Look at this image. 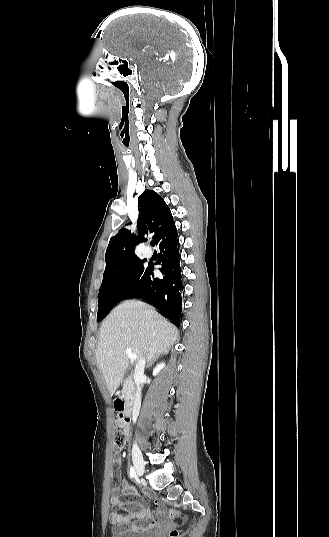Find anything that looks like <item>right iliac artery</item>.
Listing matches in <instances>:
<instances>
[{
	"instance_id": "right-iliac-artery-1",
	"label": "right iliac artery",
	"mask_w": 329,
	"mask_h": 537,
	"mask_svg": "<svg viewBox=\"0 0 329 537\" xmlns=\"http://www.w3.org/2000/svg\"><path fill=\"white\" fill-rule=\"evenodd\" d=\"M135 470L134 468L131 466L130 467V470H129V475H130V478L133 479L135 477Z\"/></svg>"
}]
</instances>
